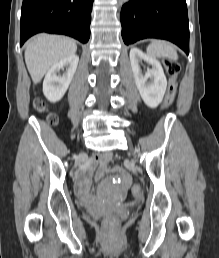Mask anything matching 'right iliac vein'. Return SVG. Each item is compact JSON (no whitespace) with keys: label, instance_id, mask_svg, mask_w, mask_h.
<instances>
[{"label":"right iliac vein","instance_id":"1","mask_svg":"<svg viewBox=\"0 0 219 258\" xmlns=\"http://www.w3.org/2000/svg\"><path fill=\"white\" fill-rule=\"evenodd\" d=\"M78 160H79V162L81 161V158H80V156H79V159H78Z\"/></svg>","mask_w":219,"mask_h":258}]
</instances>
